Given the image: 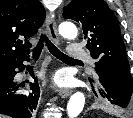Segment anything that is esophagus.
<instances>
[{"instance_id":"1","label":"esophagus","mask_w":133,"mask_h":118,"mask_svg":"<svg viewBox=\"0 0 133 118\" xmlns=\"http://www.w3.org/2000/svg\"><path fill=\"white\" fill-rule=\"evenodd\" d=\"M46 27L48 30V34L51 38V40L56 44V45H60V40H59V36L57 33V29H56V22L55 19L53 17H51L50 15L47 16L46 18ZM71 94V90L70 89H60L59 90V95L62 98H66Z\"/></svg>"}]
</instances>
